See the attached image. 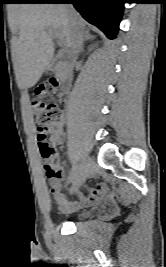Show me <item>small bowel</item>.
<instances>
[{
  "mask_svg": "<svg viewBox=\"0 0 166 267\" xmlns=\"http://www.w3.org/2000/svg\"><path fill=\"white\" fill-rule=\"evenodd\" d=\"M65 117H61L49 125V142L52 146H56L64 133ZM58 152H54L52 161L56 166L58 175L50 179V192L53 200L59 208L65 213H72L84 207L90 206L99 200L103 199L107 194V186L104 183H98L92 188L88 189L87 194L79 193L77 201H67L63 194L60 192L61 180L64 177L63 169L58 165Z\"/></svg>",
  "mask_w": 166,
  "mask_h": 267,
  "instance_id": "obj_1",
  "label": "small bowel"
}]
</instances>
